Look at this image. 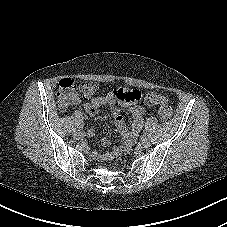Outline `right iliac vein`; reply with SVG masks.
Returning <instances> with one entry per match:
<instances>
[{"mask_svg":"<svg viewBox=\"0 0 227 227\" xmlns=\"http://www.w3.org/2000/svg\"><path fill=\"white\" fill-rule=\"evenodd\" d=\"M72 134H73V136L76 137V138L82 136V132H81L80 130H74Z\"/></svg>","mask_w":227,"mask_h":227,"instance_id":"1","label":"right iliac vein"}]
</instances>
